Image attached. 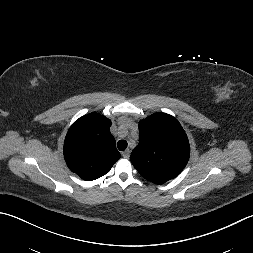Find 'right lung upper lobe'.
Returning <instances> with one entry per match:
<instances>
[{
	"label": "right lung upper lobe",
	"mask_w": 253,
	"mask_h": 253,
	"mask_svg": "<svg viewBox=\"0 0 253 253\" xmlns=\"http://www.w3.org/2000/svg\"><path fill=\"white\" fill-rule=\"evenodd\" d=\"M110 126L109 119L93 112L70 127L64 142V157L70 170L80 178L98 179L120 158Z\"/></svg>",
	"instance_id": "cb5924a9"
}]
</instances>
